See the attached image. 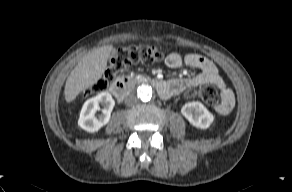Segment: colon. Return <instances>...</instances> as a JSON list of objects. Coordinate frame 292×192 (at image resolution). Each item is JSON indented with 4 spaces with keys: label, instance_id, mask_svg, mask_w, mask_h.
Here are the masks:
<instances>
[{
    "label": "colon",
    "instance_id": "1",
    "mask_svg": "<svg viewBox=\"0 0 292 192\" xmlns=\"http://www.w3.org/2000/svg\"><path fill=\"white\" fill-rule=\"evenodd\" d=\"M163 59V53L155 46L131 45L118 49L107 67L103 77L99 79L90 89L84 92V96L100 93L107 89L119 73L125 71L129 66L142 63L152 65ZM190 98H199L209 104H218L220 101L219 88L214 84L202 86L196 90L187 92Z\"/></svg>",
    "mask_w": 292,
    "mask_h": 192
}]
</instances>
